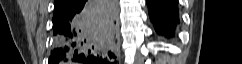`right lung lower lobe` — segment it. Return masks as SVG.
<instances>
[{"mask_svg":"<svg viewBox=\"0 0 242 64\" xmlns=\"http://www.w3.org/2000/svg\"><path fill=\"white\" fill-rule=\"evenodd\" d=\"M116 0H73L54 11L49 64H115Z\"/></svg>","mask_w":242,"mask_h":64,"instance_id":"1","label":"right lung lower lobe"}]
</instances>
